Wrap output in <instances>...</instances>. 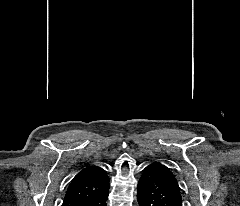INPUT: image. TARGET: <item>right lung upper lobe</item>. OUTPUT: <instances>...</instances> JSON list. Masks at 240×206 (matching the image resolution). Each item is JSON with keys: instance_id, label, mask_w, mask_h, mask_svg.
<instances>
[{"instance_id": "obj_1", "label": "right lung upper lobe", "mask_w": 240, "mask_h": 206, "mask_svg": "<svg viewBox=\"0 0 240 206\" xmlns=\"http://www.w3.org/2000/svg\"><path fill=\"white\" fill-rule=\"evenodd\" d=\"M109 188L106 171L98 166H88L71 181L62 206H80Z\"/></svg>"}]
</instances>
